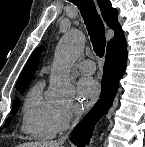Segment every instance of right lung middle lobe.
Here are the masks:
<instances>
[{
  "mask_svg": "<svg viewBox=\"0 0 145 147\" xmlns=\"http://www.w3.org/2000/svg\"><path fill=\"white\" fill-rule=\"evenodd\" d=\"M25 88H26V87L21 88V89H18V90H19L21 93H23ZM18 108H19V99L16 98V100H15V102H14V105H13V108H12V110H11V114H12V115L16 114ZM9 120H10V119H8V120L6 121L5 127H6L7 124L9 123Z\"/></svg>",
  "mask_w": 145,
  "mask_h": 147,
  "instance_id": "right-lung-middle-lobe-1",
  "label": "right lung middle lobe"
}]
</instances>
